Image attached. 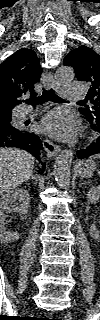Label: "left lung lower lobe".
Masks as SVG:
<instances>
[{
  "label": "left lung lower lobe",
  "instance_id": "1",
  "mask_svg": "<svg viewBox=\"0 0 100 320\" xmlns=\"http://www.w3.org/2000/svg\"><path fill=\"white\" fill-rule=\"evenodd\" d=\"M87 121H89L90 127L99 133V137L86 149L77 151V156L79 159H83L94 154H100V118Z\"/></svg>",
  "mask_w": 100,
  "mask_h": 320
}]
</instances>
